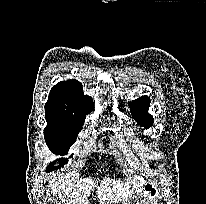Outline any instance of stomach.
Masks as SVG:
<instances>
[{
	"instance_id": "0dacf381",
	"label": "stomach",
	"mask_w": 206,
	"mask_h": 204,
	"mask_svg": "<svg viewBox=\"0 0 206 204\" xmlns=\"http://www.w3.org/2000/svg\"><path fill=\"white\" fill-rule=\"evenodd\" d=\"M142 193L143 196L151 202V204H156L155 202L160 198V189L151 181L144 183Z\"/></svg>"
}]
</instances>
